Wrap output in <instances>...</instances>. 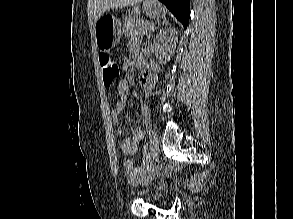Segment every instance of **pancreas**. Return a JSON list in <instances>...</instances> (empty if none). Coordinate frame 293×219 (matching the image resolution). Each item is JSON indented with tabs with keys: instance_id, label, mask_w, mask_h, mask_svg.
Listing matches in <instances>:
<instances>
[{
	"instance_id": "pancreas-1",
	"label": "pancreas",
	"mask_w": 293,
	"mask_h": 219,
	"mask_svg": "<svg viewBox=\"0 0 293 219\" xmlns=\"http://www.w3.org/2000/svg\"><path fill=\"white\" fill-rule=\"evenodd\" d=\"M151 24L142 19L127 16L122 27V32L126 36H143L151 31Z\"/></svg>"
}]
</instances>
